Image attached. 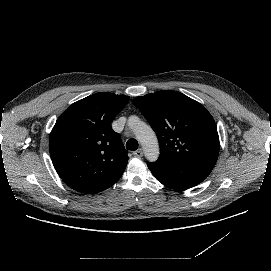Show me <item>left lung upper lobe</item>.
Returning <instances> with one entry per match:
<instances>
[{"mask_svg":"<svg viewBox=\"0 0 271 271\" xmlns=\"http://www.w3.org/2000/svg\"><path fill=\"white\" fill-rule=\"evenodd\" d=\"M158 137L160 156L214 167L219 136L210 113L186 95L162 90L133 100Z\"/></svg>","mask_w":271,"mask_h":271,"instance_id":"left-lung-upper-lobe-1","label":"left lung upper lobe"}]
</instances>
